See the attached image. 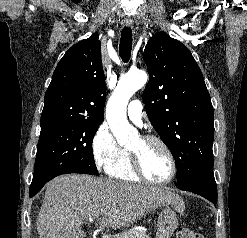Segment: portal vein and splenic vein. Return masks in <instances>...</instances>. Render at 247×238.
<instances>
[{"mask_svg":"<svg viewBox=\"0 0 247 238\" xmlns=\"http://www.w3.org/2000/svg\"><path fill=\"white\" fill-rule=\"evenodd\" d=\"M89 221H90V222H92V221H93V219H92V218H90V219H89Z\"/></svg>","mask_w":247,"mask_h":238,"instance_id":"portal-vein-and-splenic-vein-1","label":"portal vein and splenic vein"}]
</instances>
